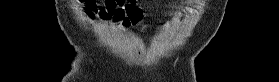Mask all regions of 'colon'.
<instances>
[{"mask_svg":"<svg viewBox=\"0 0 279 82\" xmlns=\"http://www.w3.org/2000/svg\"><path fill=\"white\" fill-rule=\"evenodd\" d=\"M125 22L129 24H138L142 19V11L135 7L130 6L125 12Z\"/></svg>","mask_w":279,"mask_h":82,"instance_id":"5ec220e1","label":"colon"}]
</instances>
